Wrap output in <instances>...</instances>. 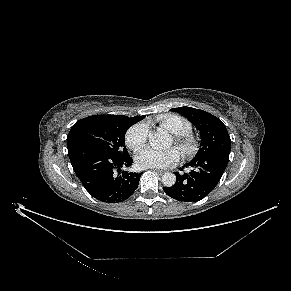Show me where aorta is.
<instances>
[{
    "label": "aorta",
    "instance_id": "aorta-1",
    "mask_svg": "<svg viewBox=\"0 0 291 291\" xmlns=\"http://www.w3.org/2000/svg\"><path fill=\"white\" fill-rule=\"evenodd\" d=\"M149 143L152 148L158 149L168 146L171 143V138L166 130L158 129L151 131L148 135ZM162 183L166 187H172L176 183V176L171 172L164 173L162 176Z\"/></svg>",
    "mask_w": 291,
    "mask_h": 291
}]
</instances>
